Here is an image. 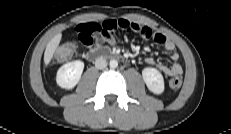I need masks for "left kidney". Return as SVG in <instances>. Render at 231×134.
<instances>
[{"label":"left kidney","instance_id":"left-kidney-1","mask_svg":"<svg viewBox=\"0 0 231 134\" xmlns=\"http://www.w3.org/2000/svg\"><path fill=\"white\" fill-rule=\"evenodd\" d=\"M142 76L146 86L151 92L157 95L164 92V79L157 69L150 67L144 68Z\"/></svg>","mask_w":231,"mask_h":134}]
</instances>
